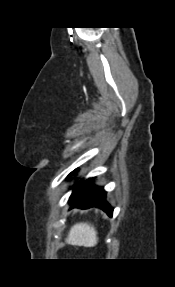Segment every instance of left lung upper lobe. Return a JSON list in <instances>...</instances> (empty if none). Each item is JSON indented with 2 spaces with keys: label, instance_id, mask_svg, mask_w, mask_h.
Segmentation results:
<instances>
[{
  "label": "left lung upper lobe",
  "instance_id": "1",
  "mask_svg": "<svg viewBox=\"0 0 175 287\" xmlns=\"http://www.w3.org/2000/svg\"><path fill=\"white\" fill-rule=\"evenodd\" d=\"M78 169H76L75 171H77ZM72 175V173H70L69 177Z\"/></svg>",
  "mask_w": 175,
  "mask_h": 287
}]
</instances>
